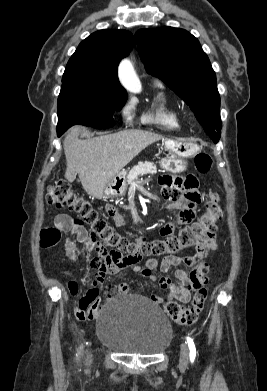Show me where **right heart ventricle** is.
Listing matches in <instances>:
<instances>
[{"label": "right heart ventricle", "mask_w": 267, "mask_h": 391, "mask_svg": "<svg viewBox=\"0 0 267 391\" xmlns=\"http://www.w3.org/2000/svg\"><path fill=\"white\" fill-rule=\"evenodd\" d=\"M141 121L145 124L160 125L169 130H178L183 124L179 112L168 103L162 93L156 95L148 110L143 113Z\"/></svg>", "instance_id": "obj_1"}]
</instances>
